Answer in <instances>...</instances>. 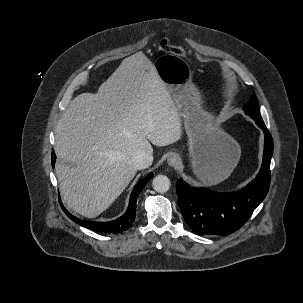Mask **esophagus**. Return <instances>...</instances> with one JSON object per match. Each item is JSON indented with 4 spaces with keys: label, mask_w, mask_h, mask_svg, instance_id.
<instances>
[{
    "label": "esophagus",
    "mask_w": 303,
    "mask_h": 303,
    "mask_svg": "<svg viewBox=\"0 0 303 303\" xmlns=\"http://www.w3.org/2000/svg\"><path fill=\"white\" fill-rule=\"evenodd\" d=\"M167 163L171 167H176L179 164V157L173 154L168 158Z\"/></svg>",
    "instance_id": "obj_1"
}]
</instances>
